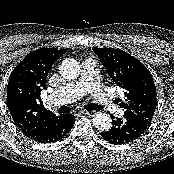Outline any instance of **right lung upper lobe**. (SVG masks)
I'll list each match as a JSON object with an SVG mask.
<instances>
[{"label":"right lung upper lobe","mask_w":174,"mask_h":174,"mask_svg":"<svg viewBox=\"0 0 174 174\" xmlns=\"http://www.w3.org/2000/svg\"><path fill=\"white\" fill-rule=\"evenodd\" d=\"M67 51L55 48L29 53L13 70L7 87V107L14 123L31 139L52 131L69 116H55L45 110L40 95L52 65Z\"/></svg>","instance_id":"cb5924a9"}]
</instances>
